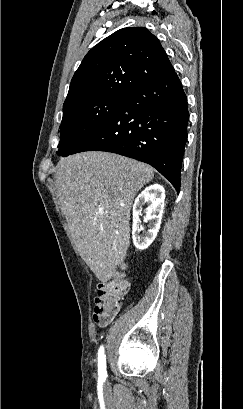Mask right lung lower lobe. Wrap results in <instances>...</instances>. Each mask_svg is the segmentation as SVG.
Returning a JSON list of instances; mask_svg holds the SVG:
<instances>
[{
    "label": "right lung lower lobe",
    "instance_id": "98d812e1",
    "mask_svg": "<svg viewBox=\"0 0 243 409\" xmlns=\"http://www.w3.org/2000/svg\"><path fill=\"white\" fill-rule=\"evenodd\" d=\"M188 120L187 97L174 71L129 94L110 121L70 154L107 151L148 163L179 193Z\"/></svg>",
    "mask_w": 243,
    "mask_h": 409
}]
</instances>
